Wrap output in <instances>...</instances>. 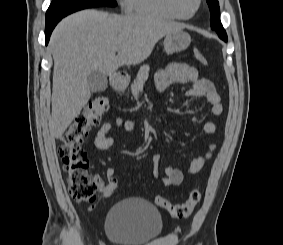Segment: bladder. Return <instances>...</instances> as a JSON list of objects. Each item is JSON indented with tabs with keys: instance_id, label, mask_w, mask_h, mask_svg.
<instances>
[{
	"instance_id": "bladder-1",
	"label": "bladder",
	"mask_w": 283,
	"mask_h": 245,
	"mask_svg": "<svg viewBox=\"0 0 283 245\" xmlns=\"http://www.w3.org/2000/svg\"><path fill=\"white\" fill-rule=\"evenodd\" d=\"M105 229L113 245H146L162 234L163 220L150 202L127 198L111 207Z\"/></svg>"
}]
</instances>
